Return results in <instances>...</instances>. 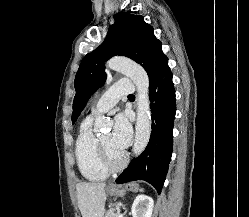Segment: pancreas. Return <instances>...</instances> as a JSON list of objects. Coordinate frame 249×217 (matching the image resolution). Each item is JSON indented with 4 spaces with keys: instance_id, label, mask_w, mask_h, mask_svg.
<instances>
[{
    "instance_id": "1",
    "label": "pancreas",
    "mask_w": 249,
    "mask_h": 217,
    "mask_svg": "<svg viewBox=\"0 0 249 217\" xmlns=\"http://www.w3.org/2000/svg\"><path fill=\"white\" fill-rule=\"evenodd\" d=\"M120 206H121V204H120V203H117V204L115 205V208H111L110 210L107 211L105 217H117V216H118V212H119Z\"/></svg>"
}]
</instances>
